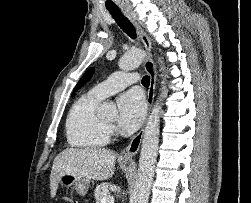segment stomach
<instances>
[{"instance_id": "1", "label": "stomach", "mask_w": 251, "mask_h": 203, "mask_svg": "<svg viewBox=\"0 0 251 203\" xmlns=\"http://www.w3.org/2000/svg\"><path fill=\"white\" fill-rule=\"evenodd\" d=\"M124 163H128V161H124ZM59 183L62 188H73L79 195L84 196L90 187L91 179L86 176L63 174Z\"/></svg>"}]
</instances>
